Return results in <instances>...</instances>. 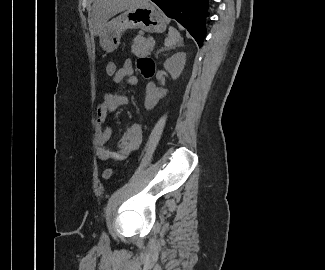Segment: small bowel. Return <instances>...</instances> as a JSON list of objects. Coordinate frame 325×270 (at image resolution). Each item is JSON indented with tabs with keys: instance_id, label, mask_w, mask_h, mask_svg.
Here are the masks:
<instances>
[{
	"instance_id": "c3829d8e",
	"label": "small bowel",
	"mask_w": 325,
	"mask_h": 270,
	"mask_svg": "<svg viewBox=\"0 0 325 270\" xmlns=\"http://www.w3.org/2000/svg\"><path fill=\"white\" fill-rule=\"evenodd\" d=\"M137 67L140 73L145 77H150L154 73L155 65L151 58L141 57L137 61ZM118 74L117 79H113L115 84H121L127 82L129 85H134L137 82L134 76L133 64L130 60L124 62V64L116 71ZM128 103L127 96L116 92H107L96 110L95 118V143L96 154L100 160H124L131 153L138 149L142 140V127L140 124L130 125L123 133L118 148L115 150L108 149L106 147L107 142L110 140L113 130L111 126L103 128L107 114L114 112L116 109L126 105Z\"/></svg>"
}]
</instances>
